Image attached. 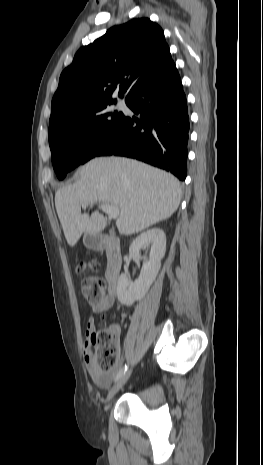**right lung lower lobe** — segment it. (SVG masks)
I'll use <instances>...</instances> for the list:
<instances>
[{"mask_svg": "<svg viewBox=\"0 0 263 465\" xmlns=\"http://www.w3.org/2000/svg\"><path fill=\"white\" fill-rule=\"evenodd\" d=\"M126 104L140 118L124 116L98 156L136 158L184 180L189 114L176 66L135 91Z\"/></svg>", "mask_w": 263, "mask_h": 465, "instance_id": "1", "label": "right lung lower lobe"}]
</instances>
